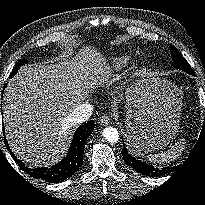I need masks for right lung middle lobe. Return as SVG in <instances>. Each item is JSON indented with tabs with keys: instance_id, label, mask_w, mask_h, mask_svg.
Listing matches in <instances>:
<instances>
[{
	"instance_id": "1",
	"label": "right lung middle lobe",
	"mask_w": 205,
	"mask_h": 205,
	"mask_svg": "<svg viewBox=\"0 0 205 205\" xmlns=\"http://www.w3.org/2000/svg\"><path fill=\"white\" fill-rule=\"evenodd\" d=\"M25 62H27V60H25V59H21L20 61H18V63L14 67L12 73L10 74V77H13L16 74V72L18 71V69L20 68V66L23 65Z\"/></svg>"
}]
</instances>
